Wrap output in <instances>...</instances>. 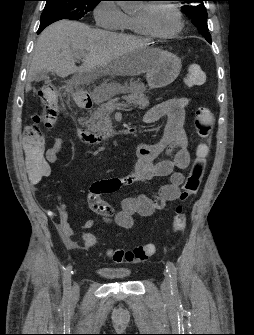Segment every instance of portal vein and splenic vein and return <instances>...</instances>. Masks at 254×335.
Segmentation results:
<instances>
[{"label": "portal vein and splenic vein", "instance_id": "1", "mask_svg": "<svg viewBox=\"0 0 254 335\" xmlns=\"http://www.w3.org/2000/svg\"><path fill=\"white\" fill-rule=\"evenodd\" d=\"M84 53H77V54H75V58L76 59H81V58H84ZM113 106H121V107H128V105H126V104H123V103H117V104H115V105H113Z\"/></svg>", "mask_w": 254, "mask_h": 335}]
</instances>
